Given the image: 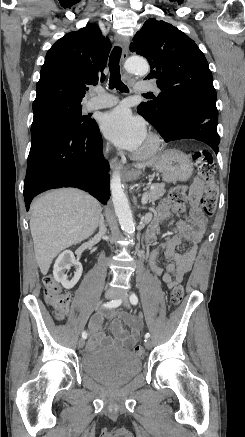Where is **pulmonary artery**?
Listing matches in <instances>:
<instances>
[{
  "label": "pulmonary artery",
  "mask_w": 245,
  "mask_h": 437,
  "mask_svg": "<svg viewBox=\"0 0 245 437\" xmlns=\"http://www.w3.org/2000/svg\"><path fill=\"white\" fill-rule=\"evenodd\" d=\"M134 89L137 92L155 91L159 92V89L150 82H138L134 85ZM96 96L93 97L86 105L88 110H96L108 108L118 103L117 97L106 93L103 89H95Z\"/></svg>",
  "instance_id": "pulmonary-artery-1"
}]
</instances>
